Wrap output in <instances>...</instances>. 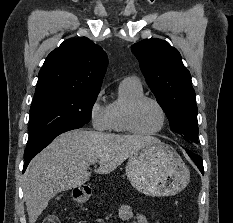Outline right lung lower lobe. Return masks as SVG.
Masks as SVG:
<instances>
[{"label": "right lung lower lobe", "instance_id": "right-lung-lower-lobe-1", "mask_svg": "<svg viewBox=\"0 0 233 223\" xmlns=\"http://www.w3.org/2000/svg\"><path fill=\"white\" fill-rule=\"evenodd\" d=\"M77 128H80V127H70V128H67V129L63 130L61 133L66 132V131H69V130L77 129ZM61 133H60V134H61ZM58 135H59V134H58ZM58 135H57V136H58ZM53 139H54V138H53ZM53 139H52V140H53ZM52 140L49 141V142L46 144V146L49 145V144L52 142ZM46 146H44L43 148H45ZM43 148H41L40 150L36 151L35 153H33V154H31V155L25 156V164H24V167H23V172L26 170V168H27V166H28L30 160H31L37 153H39Z\"/></svg>", "mask_w": 233, "mask_h": 223}]
</instances>
